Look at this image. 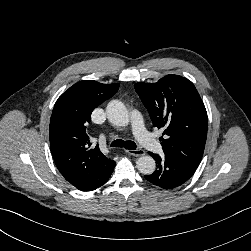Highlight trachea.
<instances>
[{"mask_svg":"<svg viewBox=\"0 0 251 251\" xmlns=\"http://www.w3.org/2000/svg\"><path fill=\"white\" fill-rule=\"evenodd\" d=\"M111 147H120V148H125L128 150H135L136 149V143L133 141H124L122 139H117L114 140L111 144Z\"/></svg>","mask_w":251,"mask_h":251,"instance_id":"3493384b","label":"trachea"}]
</instances>
